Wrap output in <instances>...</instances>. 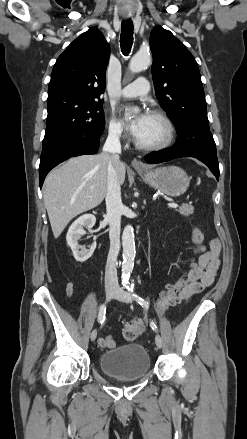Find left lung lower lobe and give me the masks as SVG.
<instances>
[{"instance_id":"left-lung-lower-lobe-1","label":"left lung lower lobe","mask_w":247,"mask_h":439,"mask_svg":"<svg viewBox=\"0 0 247 439\" xmlns=\"http://www.w3.org/2000/svg\"><path fill=\"white\" fill-rule=\"evenodd\" d=\"M180 157H194V158H197V157H195L193 155L184 153L176 145H174L171 148H167V149L161 150L159 152L149 153L148 155L145 156V159H146V161L148 163L156 164V163H162V162L170 161L172 159L180 158ZM197 159L200 160L201 162H203L205 165H207L201 159H199V158H197ZM209 169L216 176L217 180H219V169L210 168V167H209Z\"/></svg>"}]
</instances>
